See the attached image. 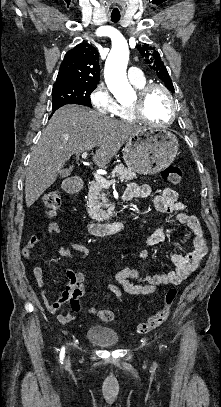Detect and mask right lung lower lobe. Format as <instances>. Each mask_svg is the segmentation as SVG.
I'll use <instances>...</instances> for the list:
<instances>
[{"label": "right lung lower lobe", "mask_w": 221, "mask_h": 407, "mask_svg": "<svg viewBox=\"0 0 221 407\" xmlns=\"http://www.w3.org/2000/svg\"><path fill=\"white\" fill-rule=\"evenodd\" d=\"M59 108H60V107H59ZM57 109H58V108L53 109V113H54ZM53 113H52V114H53Z\"/></svg>", "instance_id": "1"}]
</instances>
